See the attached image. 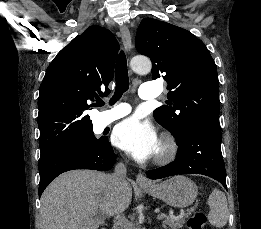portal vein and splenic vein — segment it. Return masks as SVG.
I'll return each mask as SVG.
<instances>
[{"label":"portal vein and splenic vein","mask_w":261,"mask_h":229,"mask_svg":"<svg viewBox=\"0 0 261 229\" xmlns=\"http://www.w3.org/2000/svg\"><path fill=\"white\" fill-rule=\"evenodd\" d=\"M164 217H167V215H164V213H161V215H158L156 222L160 223L161 219H164ZM171 219H182V215H179V217H171Z\"/></svg>","instance_id":"portal-vein-and-splenic-vein-1"}]
</instances>
